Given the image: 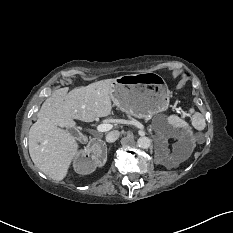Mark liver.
Listing matches in <instances>:
<instances>
[{
	"instance_id": "6515ba94",
	"label": "liver",
	"mask_w": 233,
	"mask_h": 233,
	"mask_svg": "<svg viewBox=\"0 0 233 233\" xmlns=\"http://www.w3.org/2000/svg\"><path fill=\"white\" fill-rule=\"evenodd\" d=\"M113 82L101 80L70 92L68 87L60 88L45 100L28 140L30 157L41 172L57 181L66 177L72 160L79 155V145L62 128H74V119L92 122L110 115Z\"/></svg>"
}]
</instances>
